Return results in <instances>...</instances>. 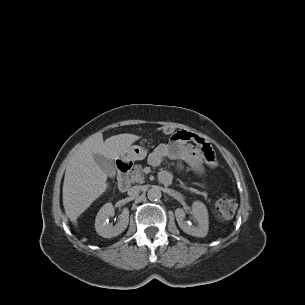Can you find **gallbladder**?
<instances>
[{
	"label": "gallbladder",
	"instance_id": "gallbladder-1",
	"mask_svg": "<svg viewBox=\"0 0 305 305\" xmlns=\"http://www.w3.org/2000/svg\"><path fill=\"white\" fill-rule=\"evenodd\" d=\"M96 164L110 177L115 176L116 167L112 159L106 158L101 154L93 155Z\"/></svg>",
	"mask_w": 305,
	"mask_h": 305
}]
</instances>
